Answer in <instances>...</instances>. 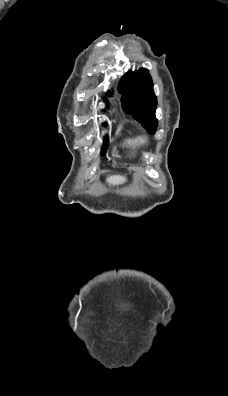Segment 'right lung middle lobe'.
Returning <instances> with one entry per match:
<instances>
[{
    "label": "right lung middle lobe",
    "instance_id": "obj_1",
    "mask_svg": "<svg viewBox=\"0 0 228 396\" xmlns=\"http://www.w3.org/2000/svg\"><path fill=\"white\" fill-rule=\"evenodd\" d=\"M107 147H108V137L106 136V137H105V140H104V144H103V148H102L101 155H104V154H105V152H106V150H107Z\"/></svg>",
    "mask_w": 228,
    "mask_h": 396
}]
</instances>
